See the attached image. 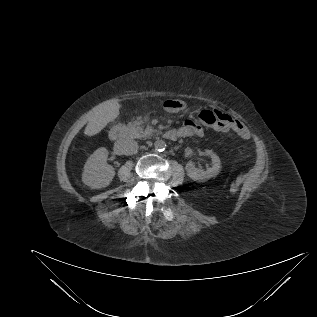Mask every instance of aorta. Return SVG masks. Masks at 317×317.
<instances>
[{
    "instance_id": "aorta-1",
    "label": "aorta",
    "mask_w": 317,
    "mask_h": 317,
    "mask_svg": "<svg viewBox=\"0 0 317 317\" xmlns=\"http://www.w3.org/2000/svg\"><path fill=\"white\" fill-rule=\"evenodd\" d=\"M155 149L158 151H164L165 147H166V143L163 140H157L154 143Z\"/></svg>"
}]
</instances>
